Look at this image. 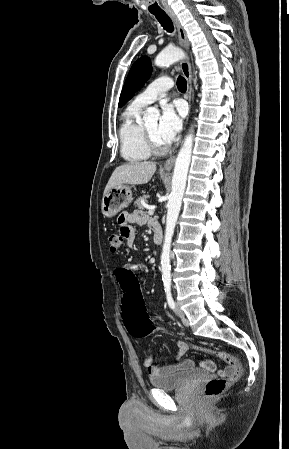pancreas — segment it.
Masks as SVG:
<instances>
[{
    "mask_svg": "<svg viewBox=\"0 0 289 449\" xmlns=\"http://www.w3.org/2000/svg\"><path fill=\"white\" fill-rule=\"evenodd\" d=\"M147 198L148 195H143L142 197H139L135 202V206L138 207L139 209H144L145 206L143 203H147Z\"/></svg>",
    "mask_w": 289,
    "mask_h": 449,
    "instance_id": "obj_1",
    "label": "pancreas"
}]
</instances>
